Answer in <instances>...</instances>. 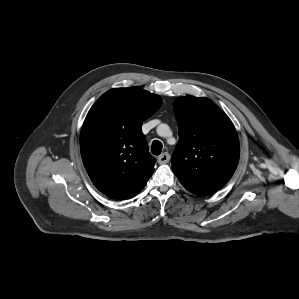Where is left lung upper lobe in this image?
Listing matches in <instances>:
<instances>
[{
	"instance_id": "obj_1",
	"label": "left lung upper lobe",
	"mask_w": 299,
	"mask_h": 299,
	"mask_svg": "<svg viewBox=\"0 0 299 299\" xmlns=\"http://www.w3.org/2000/svg\"><path fill=\"white\" fill-rule=\"evenodd\" d=\"M179 142L171 158L181 184L196 195L222 188L232 177L240 155L234 125L211 100L180 97L174 103Z\"/></svg>"
}]
</instances>
